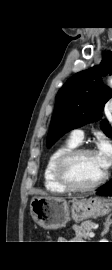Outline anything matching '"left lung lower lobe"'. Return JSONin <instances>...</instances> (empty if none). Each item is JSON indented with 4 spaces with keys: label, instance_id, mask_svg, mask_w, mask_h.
I'll use <instances>...</instances> for the list:
<instances>
[{
    "label": "left lung lower lobe",
    "instance_id": "1",
    "mask_svg": "<svg viewBox=\"0 0 112 270\" xmlns=\"http://www.w3.org/2000/svg\"><path fill=\"white\" fill-rule=\"evenodd\" d=\"M97 194L101 196H112V179L105 185L101 186V189Z\"/></svg>",
    "mask_w": 112,
    "mask_h": 270
}]
</instances>
